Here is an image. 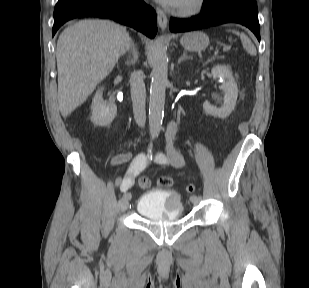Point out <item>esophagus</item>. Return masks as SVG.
I'll return each instance as SVG.
<instances>
[{"mask_svg": "<svg viewBox=\"0 0 309 288\" xmlns=\"http://www.w3.org/2000/svg\"><path fill=\"white\" fill-rule=\"evenodd\" d=\"M158 25L162 30H165L168 25V18L160 8L156 9Z\"/></svg>", "mask_w": 309, "mask_h": 288, "instance_id": "esophagus-1", "label": "esophagus"}]
</instances>
